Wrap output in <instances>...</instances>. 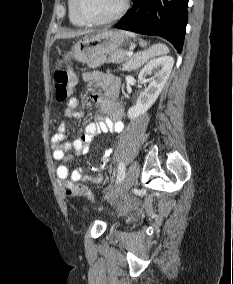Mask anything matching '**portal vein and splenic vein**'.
Returning <instances> with one entry per match:
<instances>
[{
	"label": "portal vein and splenic vein",
	"mask_w": 233,
	"mask_h": 284,
	"mask_svg": "<svg viewBox=\"0 0 233 284\" xmlns=\"http://www.w3.org/2000/svg\"><path fill=\"white\" fill-rule=\"evenodd\" d=\"M132 55H133V52H132V51L127 52V56H128V57H131Z\"/></svg>",
	"instance_id": "18ae733b"
}]
</instances>
